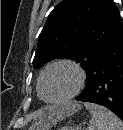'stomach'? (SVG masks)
Masks as SVG:
<instances>
[{"label":"stomach","instance_id":"1","mask_svg":"<svg viewBox=\"0 0 123 130\" xmlns=\"http://www.w3.org/2000/svg\"><path fill=\"white\" fill-rule=\"evenodd\" d=\"M61 130H77V129L72 126H66V127H63Z\"/></svg>","mask_w":123,"mask_h":130}]
</instances>
